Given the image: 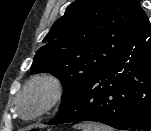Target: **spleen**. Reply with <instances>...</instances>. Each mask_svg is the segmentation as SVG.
Masks as SVG:
<instances>
[{"label": "spleen", "mask_w": 151, "mask_h": 131, "mask_svg": "<svg viewBox=\"0 0 151 131\" xmlns=\"http://www.w3.org/2000/svg\"><path fill=\"white\" fill-rule=\"evenodd\" d=\"M81 131H114L111 127L98 123H82L74 126Z\"/></svg>", "instance_id": "1"}]
</instances>
